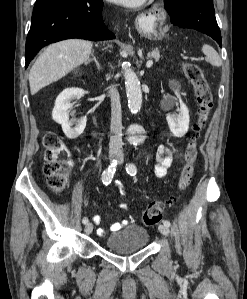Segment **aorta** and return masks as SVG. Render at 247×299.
I'll return each instance as SVG.
<instances>
[{"label":"aorta","instance_id":"762f6f07","mask_svg":"<svg viewBox=\"0 0 247 299\" xmlns=\"http://www.w3.org/2000/svg\"><path fill=\"white\" fill-rule=\"evenodd\" d=\"M125 88L128 98V108L132 114H137L142 106V91L140 80L130 67H123ZM145 130L142 126L134 124L128 128V142L138 144L144 140Z\"/></svg>","mask_w":247,"mask_h":299}]
</instances>
